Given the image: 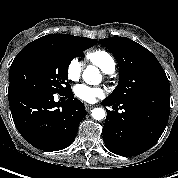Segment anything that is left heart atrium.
I'll list each match as a JSON object with an SVG mask.
<instances>
[{
    "label": "left heart atrium",
    "mask_w": 178,
    "mask_h": 178,
    "mask_svg": "<svg viewBox=\"0 0 178 178\" xmlns=\"http://www.w3.org/2000/svg\"><path fill=\"white\" fill-rule=\"evenodd\" d=\"M74 94L80 100L92 103L103 97L104 90L99 87H91L85 84H78L74 88Z\"/></svg>",
    "instance_id": "obj_1"
}]
</instances>
